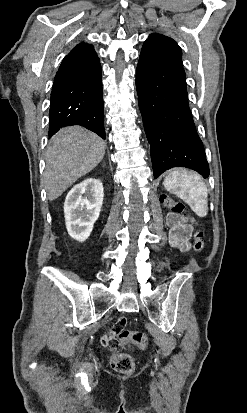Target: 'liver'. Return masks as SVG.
<instances>
[{
    "label": "liver",
    "instance_id": "obj_1",
    "mask_svg": "<svg viewBox=\"0 0 247 413\" xmlns=\"http://www.w3.org/2000/svg\"><path fill=\"white\" fill-rule=\"evenodd\" d=\"M106 142L83 126H65L52 136L47 148L45 188L48 200L60 196L77 178L97 166Z\"/></svg>",
    "mask_w": 247,
    "mask_h": 413
}]
</instances>
